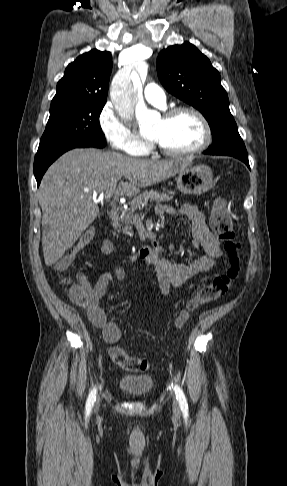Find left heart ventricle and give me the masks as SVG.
I'll use <instances>...</instances> for the list:
<instances>
[{"label":"left heart ventricle","mask_w":287,"mask_h":486,"mask_svg":"<svg viewBox=\"0 0 287 486\" xmlns=\"http://www.w3.org/2000/svg\"><path fill=\"white\" fill-rule=\"evenodd\" d=\"M203 137L198 119L189 113L180 114L170 120L159 119L149 135L165 148L186 150L197 146Z\"/></svg>","instance_id":"obj_1"}]
</instances>
